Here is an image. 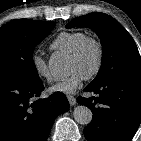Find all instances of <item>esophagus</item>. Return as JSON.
I'll use <instances>...</instances> for the list:
<instances>
[{
  "mask_svg": "<svg viewBox=\"0 0 141 141\" xmlns=\"http://www.w3.org/2000/svg\"><path fill=\"white\" fill-rule=\"evenodd\" d=\"M67 99H68L69 104H70L71 106H73V105L76 104V98H75L74 96L68 95V96H67Z\"/></svg>",
  "mask_w": 141,
  "mask_h": 141,
  "instance_id": "34e87169",
  "label": "esophagus"
}]
</instances>
